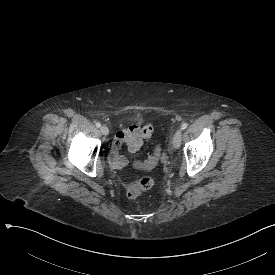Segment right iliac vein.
<instances>
[{
  "label": "right iliac vein",
  "mask_w": 275,
  "mask_h": 275,
  "mask_svg": "<svg viewBox=\"0 0 275 275\" xmlns=\"http://www.w3.org/2000/svg\"><path fill=\"white\" fill-rule=\"evenodd\" d=\"M100 130H101V133L103 134V135H108V133H109V129H108V127H106V126H102L101 128H100Z\"/></svg>",
  "instance_id": "obj_1"
}]
</instances>
